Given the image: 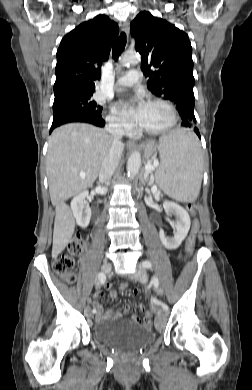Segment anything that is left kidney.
Here are the masks:
<instances>
[{
	"mask_svg": "<svg viewBox=\"0 0 252 390\" xmlns=\"http://www.w3.org/2000/svg\"><path fill=\"white\" fill-rule=\"evenodd\" d=\"M163 208L167 215L174 214L177 219L174 226L175 231L173 238L166 237L163 230H160L159 236L165 248L168 250H175L181 245L188 234L191 225L190 217L183 207L174 202L165 201L163 203Z\"/></svg>",
	"mask_w": 252,
	"mask_h": 390,
	"instance_id": "5707ae66",
	"label": "left kidney"
}]
</instances>
